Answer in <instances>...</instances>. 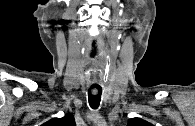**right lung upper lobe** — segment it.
<instances>
[{"label":"right lung upper lobe","mask_w":195,"mask_h":126,"mask_svg":"<svg viewBox=\"0 0 195 126\" xmlns=\"http://www.w3.org/2000/svg\"><path fill=\"white\" fill-rule=\"evenodd\" d=\"M75 120L74 117L71 116H64L62 118H53L44 124L42 126H75Z\"/></svg>","instance_id":"1"}]
</instances>
